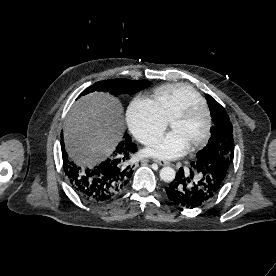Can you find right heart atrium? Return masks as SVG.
I'll return each instance as SVG.
<instances>
[{"instance_id": "right-heart-atrium-1", "label": "right heart atrium", "mask_w": 276, "mask_h": 276, "mask_svg": "<svg viewBox=\"0 0 276 276\" xmlns=\"http://www.w3.org/2000/svg\"><path fill=\"white\" fill-rule=\"evenodd\" d=\"M127 122L133 135L144 144L160 136L168 125L154 101L143 97L131 101L127 110Z\"/></svg>"}]
</instances>
